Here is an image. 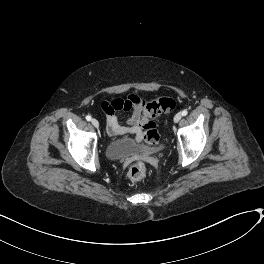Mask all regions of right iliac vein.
<instances>
[{"instance_id": "obj_1", "label": "right iliac vein", "mask_w": 264, "mask_h": 264, "mask_svg": "<svg viewBox=\"0 0 264 264\" xmlns=\"http://www.w3.org/2000/svg\"><path fill=\"white\" fill-rule=\"evenodd\" d=\"M91 123H92V125H93L94 127H96V128L99 127V122H98V120H96V119H92V120H91Z\"/></svg>"}]
</instances>
